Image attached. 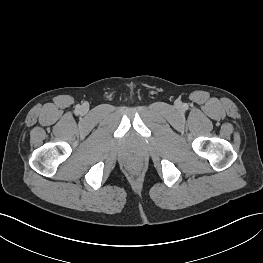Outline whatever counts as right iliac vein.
<instances>
[{
    "label": "right iliac vein",
    "instance_id": "1",
    "mask_svg": "<svg viewBox=\"0 0 263 263\" xmlns=\"http://www.w3.org/2000/svg\"><path fill=\"white\" fill-rule=\"evenodd\" d=\"M82 111H83V113H87L88 112L87 106H82Z\"/></svg>",
    "mask_w": 263,
    "mask_h": 263
}]
</instances>
